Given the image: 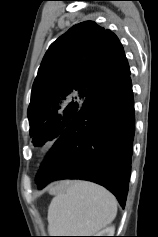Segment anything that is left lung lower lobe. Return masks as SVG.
I'll return each mask as SVG.
<instances>
[{
  "label": "left lung lower lobe",
  "mask_w": 158,
  "mask_h": 237,
  "mask_svg": "<svg viewBox=\"0 0 158 237\" xmlns=\"http://www.w3.org/2000/svg\"><path fill=\"white\" fill-rule=\"evenodd\" d=\"M135 131L130 73L93 96L70 120L49 151L39 188L83 179L110 190L124 208Z\"/></svg>",
  "instance_id": "obj_1"
}]
</instances>
